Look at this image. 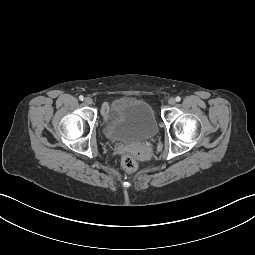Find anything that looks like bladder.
I'll return each mask as SVG.
<instances>
[{
    "instance_id": "31cf9c89",
    "label": "bladder",
    "mask_w": 255,
    "mask_h": 255,
    "mask_svg": "<svg viewBox=\"0 0 255 255\" xmlns=\"http://www.w3.org/2000/svg\"><path fill=\"white\" fill-rule=\"evenodd\" d=\"M108 138L117 141H141L154 137L159 124L152 106L140 99L118 98L110 106L104 126Z\"/></svg>"
}]
</instances>
